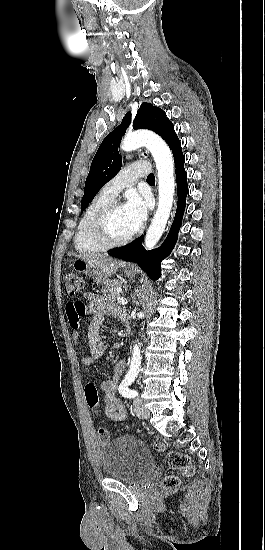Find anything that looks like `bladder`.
Here are the masks:
<instances>
[{"mask_svg":"<svg viewBox=\"0 0 265 550\" xmlns=\"http://www.w3.org/2000/svg\"><path fill=\"white\" fill-rule=\"evenodd\" d=\"M104 474L128 484L148 479L156 467L154 454L139 439L123 435L102 447Z\"/></svg>","mask_w":265,"mask_h":550,"instance_id":"1","label":"bladder"}]
</instances>
